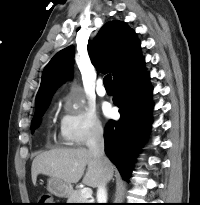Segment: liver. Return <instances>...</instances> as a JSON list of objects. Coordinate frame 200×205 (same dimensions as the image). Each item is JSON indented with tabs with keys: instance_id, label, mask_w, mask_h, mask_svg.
<instances>
[{
	"instance_id": "obj_1",
	"label": "liver",
	"mask_w": 200,
	"mask_h": 205,
	"mask_svg": "<svg viewBox=\"0 0 200 205\" xmlns=\"http://www.w3.org/2000/svg\"><path fill=\"white\" fill-rule=\"evenodd\" d=\"M38 174L59 178L70 185L79 182L84 175L82 183L97 188L103 180L112 179L113 166L106 157L99 160L86 148L52 149L34 158L31 167L33 183Z\"/></svg>"
}]
</instances>
